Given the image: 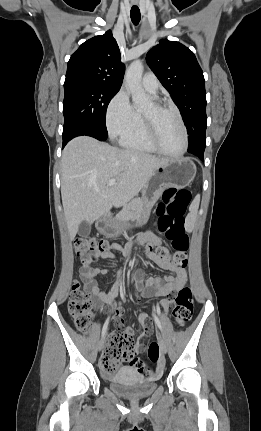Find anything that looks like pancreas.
<instances>
[{
	"instance_id": "cf45deb5",
	"label": "pancreas",
	"mask_w": 261,
	"mask_h": 431,
	"mask_svg": "<svg viewBox=\"0 0 261 431\" xmlns=\"http://www.w3.org/2000/svg\"><path fill=\"white\" fill-rule=\"evenodd\" d=\"M144 214V202L140 198H135L125 204L123 209L116 215L118 222L139 220Z\"/></svg>"
}]
</instances>
